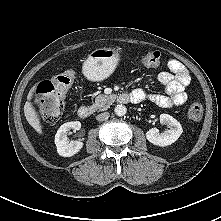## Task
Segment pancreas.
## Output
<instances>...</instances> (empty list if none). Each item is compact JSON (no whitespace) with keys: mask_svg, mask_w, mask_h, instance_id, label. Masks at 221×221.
<instances>
[{"mask_svg":"<svg viewBox=\"0 0 221 221\" xmlns=\"http://www.w3.org/2000/svg\"><path fill=\"white\" fill-rule=\"evenodd\" d=\"M115 98V95L100 94L95 98L93 108L100 111L106 110L110 107V105H112V103L115 101Z\"/></svg>","mask_w":221,"mask_h":221,"instance_id":"pancreas-1","label":"pancreas"}]
</instances>
